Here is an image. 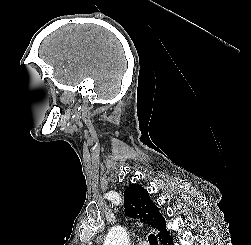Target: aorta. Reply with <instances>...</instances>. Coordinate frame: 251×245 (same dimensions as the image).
<instances>
[{
    "label": "aorta",
    "mask_w": 251,
    "mask_h": 245,
    "mask_svg": "<svg viewBox=\"0 0 251 245\" xmlns=\"http://www.w3.org/2000/svg\"><path fill=\"white\" fill-rule=\"evenodd\" d=\"M103 245H129L127 232L121 226L111 228Z\"/></svg>",
    "instance_id": "1"
}]
</instances>
